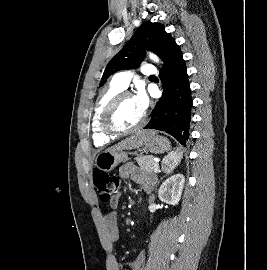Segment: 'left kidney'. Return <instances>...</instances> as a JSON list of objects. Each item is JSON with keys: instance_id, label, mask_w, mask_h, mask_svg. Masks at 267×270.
<instances>
[{"instance_id": "left-kidney-1", "label": "left kidney", "mask_w": 267, "mask_h": 270, "mask_svg": "<svg viewBox=\"0 0 267 270\" xmlns=\"http://www.w3.org/2000/svg\"><path fill=\"white\" fill-rule=\"evenodd\" d=\"M185 177L182 174H175L167 178L159 188L158 197L161 201L177 205L180 201Z\"/></svg>"}]
</instances>
